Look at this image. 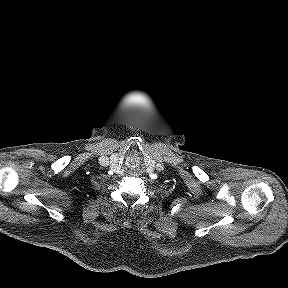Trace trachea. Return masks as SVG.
<instances>
[{
    "label": "trachea",
    "mask_w": 288,
    "mask_h": 288,
    "mask_svg": "<svg viewBox=\"0 0 288 288\" xmlns=\"http://www.w3.org/2000/svg\"><path fill=\"white\" fill-rule=\"evenodd\" d=\"M139 155L135 152H129L126 158V164L128 166H135L139 163Z\"/></svg>",
    "instance_id": "obj_1"
}]
</instances>
